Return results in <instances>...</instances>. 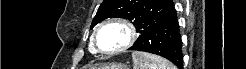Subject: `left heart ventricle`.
I'll return each mask as SVG.
<instances>
[{"label": "left heart ventricle", "mask_w": 246, "mask_h": 69, "mask_svg": "<svg viewBox=\"0 0 246 69\" xmlns=\"http://www.w3.org/2000/svg\"><path fill=\"white\" fill-rule=\"evenodd\" d=\"M126 38V30L123 27L114 24L104 27L97 37L99 46L103 49L119 46L124 43Z\"/></svg>", "instance_id": "1"}]
</instances>
